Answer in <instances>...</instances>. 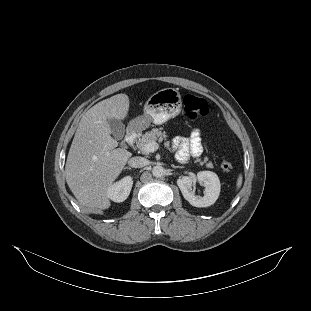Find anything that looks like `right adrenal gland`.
I'll use <instances>...</instances> for the list:
<instances>
[{
	"mask_svg": "<svg viewBox=\"0 0 311 311\" xmlns=\"http://www.w3.org/2000/svg\"><path fill=\"white\" fill-rule=\"evenodd\" d=\"M126 170H129V171H135L136 169H132V168H124L123 172H125Z\"/></svg>",
	"mask_w": 311,
	"mask_h": 311,
	"instance_id": "2a0ac1e0",
	"label": "right adrenal gland"
}]
</instances>
